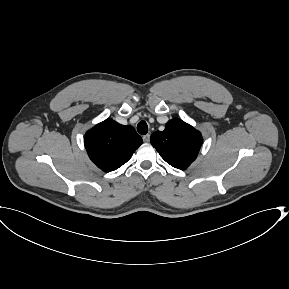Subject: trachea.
<instances>
[{
    "label": "trachea",
    "instance_id": "obj_1",
    "mask_svg": "<svg viewBox=\"0 0 289 289\" xmlns=\"http://www.w3.org/2000/svg\"><path fill=\"white\" fill-rule=\"evenodd\" d=\"M137 131H138L139 134H142V135L147 134V132H148V125H147V123H146L144 120H142V121H140V122L138 123V125H137Z\"/></svg>",
    "mask_w": 289,
    "mask_h": 289
}]
</instances>
